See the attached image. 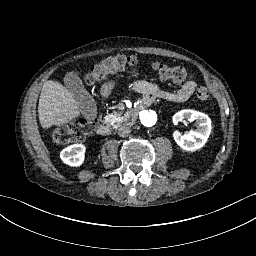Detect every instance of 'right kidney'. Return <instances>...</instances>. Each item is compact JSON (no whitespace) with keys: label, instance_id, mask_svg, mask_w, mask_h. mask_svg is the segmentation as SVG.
<instances>
[{"label":"right kidney","instance_id":"ca27d5eb","mask_svg":"<svg viewBox=\"0 0 256 256\" xmlns=\"http://www.w3.org/2000/svg\"><path fill=\"white\" fill-rule=\"evenodd\" d=\"M85 150L86 148L82 144L70 145L60 152V158L65 164L77 167L84 162Z\"/></svg>","mask_w":256,"mask_h":256}]
</instances>
